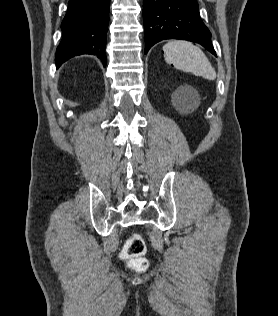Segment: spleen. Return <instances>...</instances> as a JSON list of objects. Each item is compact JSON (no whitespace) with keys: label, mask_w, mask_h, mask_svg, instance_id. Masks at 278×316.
Returning <instances> with one entry per match:
<instances>
[{"label":"spleen","mask_w":278,"mask_h":316,"mask_svg":"<svg viewBox=\"0 0 278 316\" xmlns=\"http://www.w3.org/2000/svg\"><path fill=\"white\" fill-rule=\"evenodd\" d=\"M165 61L173 64L176 69L191 72L206 79L216 78L212 67L203 51L188 41H169L163 46Z\"/></svg>","instance_id":"spleen-1"}]
</instances>
